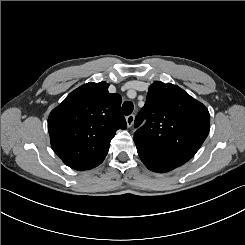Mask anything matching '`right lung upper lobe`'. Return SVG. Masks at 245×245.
Returning a JSON list of instances; mask_svg holds the SVG:
<instances>
[{"mask_svg":"<svg viewBox=\"0 0 245 245\" xmlns=\"http://www.w3.org/2000/svg\"><path fill=\"white\" fill-rule=\"evenodd\" d=\"M106 82H89L71 92L48 118L50 142L69 167L83 171L100 165L116 130L127 127L121 97Z\"/></svg>","mask_w":245,"mask_h":245,"instance_id":"cb5924a9","label":"right lung upper lobe"}]
</instances>
